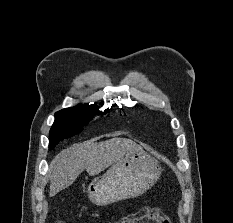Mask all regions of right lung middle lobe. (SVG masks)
Returning <instances> with one entry per match:
<instances>
[{
    "label": "right lung middle lobe",
    "mask_w": 233,
    "mask_h": 223,
    "mask_svg": "<svg viewBox=\"0 0 233 223\" xmlns=\"http://www.w3.org/2000/svg\"><path fill=\"white\" fill-rule=\"evenodd\" d=\"M108 111L98 112L97 106L79 105L56 112L55 122L50 130L49 148L53 149L61 140L81 132L93 115H104Z\"/></svg>",
    "instance_id": "1"
}]
</instances>
